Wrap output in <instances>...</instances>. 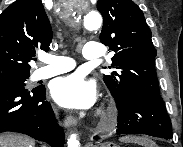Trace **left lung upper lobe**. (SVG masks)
Returning <instances> with one entry per match:
<instances>
[{
	"label": "left lung upper lobe",
	"instance_id": "1",
	"mask_svg": "<svg viewBox=\"0 0 183 147\" xmlns=\"http://www.w3.org/2000/svg\"><path fill=\"white\" fill-rule=\"evenodd\" d=\"M97 9L104 19L100 40L115 52L111 66L104 67L114 71L103 80L116 104L133 92L160 95L156 50L141 9L132 0H98Z\"/></svg>",
	"mask_w": 183,
	"mask_h": 147
}]
</instances>
